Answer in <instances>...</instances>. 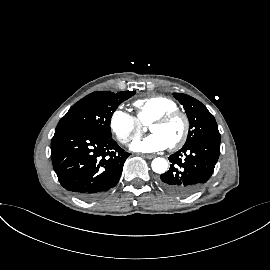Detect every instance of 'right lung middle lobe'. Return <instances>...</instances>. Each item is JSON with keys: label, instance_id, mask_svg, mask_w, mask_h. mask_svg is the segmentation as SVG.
Here are the masks:
<instances>
[{"label": "right lung middle lobe", "instance_id": "right-lung-middle-lobe-1", "mask_svg": "<svg viewBox=\"0 0 270 270\" xmlns=\"http://www.w3.org/2000/svg\"><path fill=\"white\" fill-rule=\"evenodd\" d=\"M134 94L135 91L93 92L75 103L61 118L56 129L83 128L111 138L110 121L113 112Z\"/></svg>", "mask_w": 270, "mask_h": 270}]
</instances>
